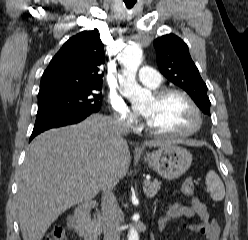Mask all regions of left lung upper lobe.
I'll return each mask as SVG.
<instances>
[{
    "label": "left lung upper lobe",
    "instance_id": "5c2ea615",
    "mask_svg": "<svg viewBox=\"0 0 248 240\" xmlns=\"http://www.w3.org/2000/svg\"><path fill=\"white\" fill-rule=\"evenodd\" d=\"M160 72L172 83L184 89L203 113L210 115L207 86L192 61L188 46L174 34L154 41Z\"/></svg>",
    "mask_w": 248,
    "mask_h": 240
}]
</instances>
